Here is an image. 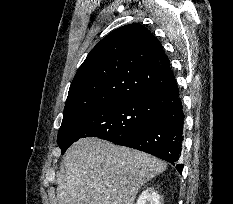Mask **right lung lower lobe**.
Returning <instances> with one entry per match:
<instances>
[{
    "label": "right lung lower lobe",
    "instance_id": "1",
    "mask_svg": "<svg viewBox=\"0 0 233 204\" xmlns=\"http://www.w3.org/2000/svg\"><path fill=\"white\" fill-rule=\"evenodd\" d=\"M151 105L157 114L155 121L111 142L147 152L175 165L182 150L184 119L176 81L151 95ZM182 168V164L176 165L180 173Z\"/></svg>",
    "mask_w": 233,
    "mask_h": 204
}]
</instances>
